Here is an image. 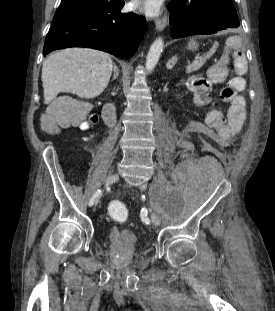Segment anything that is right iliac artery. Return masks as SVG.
I'll list each match as a JSON object with an SVG mask.
<instances>
[{
  "label": "right iliac artery",
  "instance_id": "obj_1",
  "mask_svg": "<svg viewBox=\"0 0 275 311\" xmlns=\"http://www.w3.org/2000/svg\"><path fill=\"white\" fill-rule=\"evenodd\" d=\"M100 194H101V190H97L95 193H94V195L92 196V198L90 199V201H89V206H92L93 204H94V200H95V198H98L99 196H100Z\"/></svg>",
  "mask_w": 275,
  "mask_h": 311
}]
</instances>
